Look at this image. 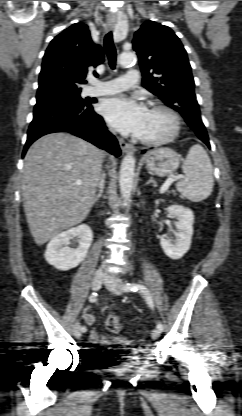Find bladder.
Masks as SVG:
<instances>
[{
	"label": "bladder",
	"mask_w": 242,
	"mask_h": 416,
	"mask_svg": "<svg viewBox=\"0 0 242 416\" xmlns=\"http://www.w3.org/2000/svg\"><path fill=\"white\" fill-rule=\"evenodd\" d=\"M113 368H121V366L120 365H115V366H113Z\"/></svg>",
	"instance_id": "1"
}]
</instances>
